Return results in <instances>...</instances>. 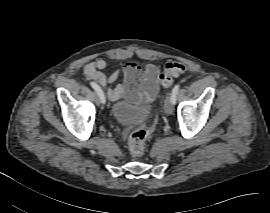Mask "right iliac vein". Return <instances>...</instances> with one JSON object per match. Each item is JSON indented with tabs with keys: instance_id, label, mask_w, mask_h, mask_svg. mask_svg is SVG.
<instances>
[{
	"instance_id": "obj_1",
	"label": "right iliac vein",
	"mask_w": 270,
	"mask_h": 213,
	"mask_svg": "<svg viewBox=\"0 0 270 213\" xmlns=\"http://www.w3.org/2000/svg\"><path fill=\"white\" fill-rule=\"evenodd\" d=\"M94 101L97 105H99L101 103L100 97L97 94L93 95Z\"/></svg>"
}]
</instances>
